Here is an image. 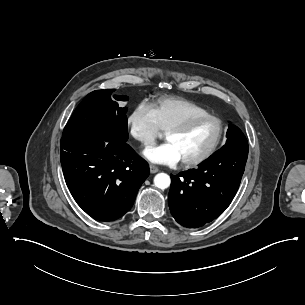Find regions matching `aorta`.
Masks as SVG:
<instances>
[{"label": "aorta", "instance_id": "aorta-1", "mask_svg": "<svg viewBox=\"0 0 305 305\" xmlns=\"http://www.w3.org/2000/svg\"><path fill=\"white\" fill-rule=\"evenodd\" d=\"M171 179L166 173H158L154 177V185L159 189H166L170 186Z\"/></svg>", "mask_w": 305, "mask_h": 305}]
</instances>
